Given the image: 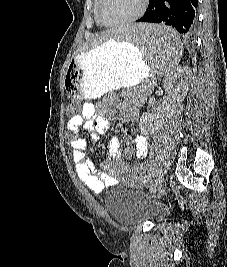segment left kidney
Wrapping results in <instances>:
<instances>
[{
  "mask_svg": "<svg viewBox=\"0 0 227 267\" xmlns=\"http://www.w3.org/2000/svg\"><path fill=\"white\" fill-rule=\"evenodd\" d=\"M191 79L192 71L188 66L176 68L173 77H165L163 88L167 95L164 104L154 113H145L141 118V126L147 127V132L153 133L162 126L166 115L176 111L188 92Z\"/></svg>",
  "mask_w": 227,
  "mask_h": 267,
  "instance_id": "1",
  "label": "left kidney"
}]
</instances>
